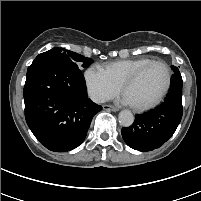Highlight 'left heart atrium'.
Returning <instances> with one entry per match:
<instances>
[{
    "label": "left heart atrium",
    "mask_w": 201,
    "mask_h": 201,
    "mask_svg": "<svg viewBox=\"0 0 201 201\" xmlns=\"http://www.w3.org/2000/svg\"><path fill=\"white\" fill-rule=\"evenodd\" d=\"M123 101L127 104H131L130 101L124 96Z\"/></svg>",
    "instance_id": "left-heart-atrium-1"
}]
</instances>
